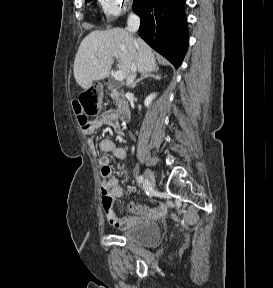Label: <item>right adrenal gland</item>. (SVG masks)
I'll return each mask as SVG.
<instances>
[{
    "label": "right adrenal gland",
    "instance_id": "right-adrenal-gland-1",
    "mask_svg": "<svg viewBox=\"0 0 273 288\" xmlns=\"http://www.w3.org/2000/svg\"><path fill=\"white\" fill-rule=\"evenodd\" d=\"M147 78H153V79H156V80L161 79V77H160L157 73H155V74L142 73V74H141V77H140L139 79H137V80L131 85V87H132V88H135L136 85H137L140 81H142L143 79H147Z\"/></svg>",
    "mask_w": 273,
    "mask_h": 288
}]
</instances>
